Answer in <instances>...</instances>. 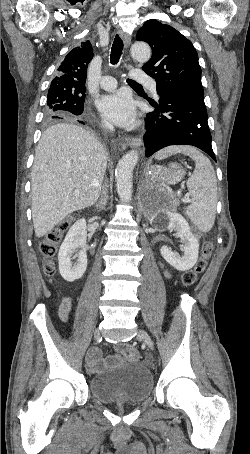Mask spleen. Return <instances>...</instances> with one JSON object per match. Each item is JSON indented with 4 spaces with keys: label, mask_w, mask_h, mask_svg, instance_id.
Listing matches in <instances>:
<instances>
[{
    "label": "spleen",
    "mask_w": 250,
    "mask_h": 454,
    "mask_svg": "<svg viewBox=\"0 0 250 454\" xmlns=\"http://www.w3.org/2000/svg\"><path fill=\"white\" fill-rule=\"evenodd\" d=\"M183 153L195 161V170L187 181L192 203L186 214L197 228L209 232L215 221L217 206V180L210 160L191 146H169L160 150L155 158L162 160L170 155Z\"/></svg>",
    "instance_id": "spleen-1"
}]
</instances>
